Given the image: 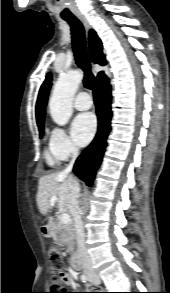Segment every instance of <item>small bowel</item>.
I'll return each mask as SVG.
<instances>
[{"label": "small bowel", "mask_w": 170, "mask_h": 293, "mask_svg": "<svg viewBox=\"0 0 170 293\" xmlns=\"http://www.w3.org/2000/svg\"><path fill=\"white\" fill-rule=\"evenodd\" d=\"M67 283L69 286L76 287V281L72 276H69L67 279ZM90 293H99L97 290H92Z\"/></svg>", "instance_id": "1"}]
</instances>
